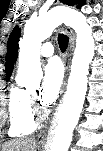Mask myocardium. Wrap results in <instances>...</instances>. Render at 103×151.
Masks as SVG:
<instances>
[{"mask_svg":"<svg viewBox=\"0 0 103 151\" xmlns=\"http://www.w3.org/2000/svg\"><path fill=\"white\" fill-rule=\"evenodd\" d=\"M36 115L38 118H42L44 116V114L41 111H37Z\"/></svg>","mask_w":103,"mask_h":151,"instance_id":"f54148a6","label":"myocardium"}]
</instances>
